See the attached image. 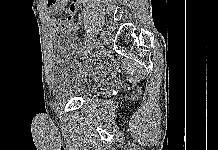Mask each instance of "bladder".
Here are the masks:
<instances>
[{"label": "bladder", "instance_id": "1", "mask_svg": "<svg viewBox=\"0 0 218 150\" xmlns=\"http://www.w3.org/2000/svg\"><path fill=\"white\" fill-rule=\"evenodd\" d=\"M81 52L68 35H59L54 41L52 88L58 99L92 95L108 76L109 70L103 62Z\"/></svg>", "mask_w": 218, "mask_h": 150}]
</instances>
